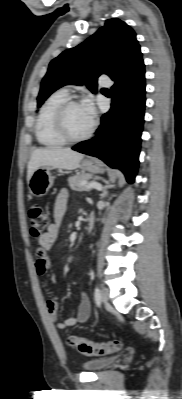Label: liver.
Instances as JSON below:
<instances>
[{
  "label": "liver",
  "mask_w": 182,
  "mask_h": 399,
  "mask_svg": "<svg viewBox=\"0 0 182 399\" xmlns=\"http://www.w3.org/2000/svg\"><path fill=\"white\" fill-rule=\"evenodd\" d=\"M84 155L69 148L48 147L36 149L32 152L27 170V182L32 173L41 166L74 170L79 167Z\"/></svg>",
  "instance_id": "liver-1"
}]
</instances>
